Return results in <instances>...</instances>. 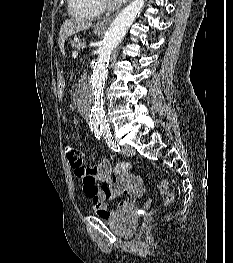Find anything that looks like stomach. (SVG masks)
Masks as SVG:
<instances>
[{
	"label": "stomach",
	"mask_w": 233,
	"mask_h": 263,
	"mask_svg": "<svg viewBox=\"0 0 233 263\" xmlns=\"http://www.w3.org/2000/svg\"><path fill=\"white\" fill-rule=\"evenodd\" d=\"M102 32L101 29H94L95 34H100ZM54 81L57 82L56 87L58 91H65L66 88H69V83H66L64 77H55Z\"/></svg>",
	"instance_id": "0dacf381"
}]
</instances>
